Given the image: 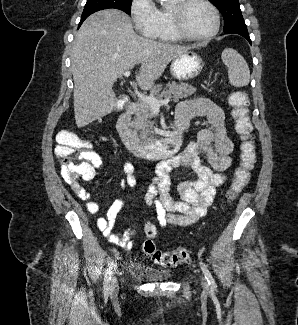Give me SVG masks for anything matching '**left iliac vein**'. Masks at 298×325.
Returning <instances> with one entry per match:
<instances>
[{
  "instance_id": "left-iliac-vein-1",
  "label": "left iliac vein",
  "mask_w": 298,
  "mask_h": 325,
  "mask_svg": "<svg viewBox=\"0 0 298 325\" xmlns=\"http://www.w3.org/2000/svg\"><path fill=\"white\" fill-rule=\"evenodd\" d=\"M202 286H203L204 289H208V283H207V281L205 280L204 277H202Z\"/></svg>"
}]
</instances>
